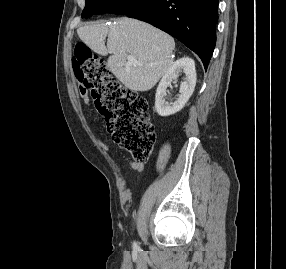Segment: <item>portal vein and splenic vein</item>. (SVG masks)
<instances>
[{
    "label": "portal vein and splenic vein",
    "mask_w": 286,
    "mask_h": 269,
    "mask_svg": "<svg viewBox=\"0 0 286 269\" xmlns=\"http://www.w3.org/2000/svg\"><path fill=\"white\" fill-rule=\"evenodd\" d=\"M127 60L130 64L137 63L136 59L132 55H128Z\"/></svg>",
    "instance_id": "portal-vein-and-splenic-vein-1"
}]
</instances>
